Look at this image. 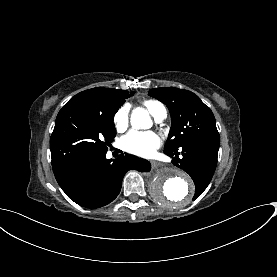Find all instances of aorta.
<instances>
[{
    "label": "aorta",
    "mask_w": 277,
    "mask_h": 277,
    "mask_svg": "<svg viewBox=\"0 0 277 277\" xmlns=\"http://www.w3.org/2000/svg\"><path fill=\"white\" fill-rule=\"evenodd\" d=\"M131 125L149 129L152 121L144 108H136L131 115ZM150 192L153 198L165 205H186L190 202L194 185L191 178L173 165L162 166L152 177Z\"/></svg>",
    "instance_id": "aorta-1"
}]
</instances>
